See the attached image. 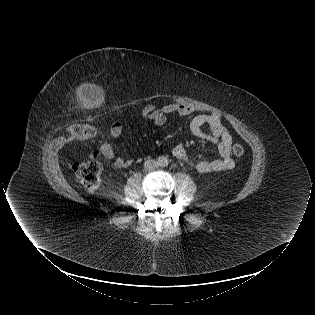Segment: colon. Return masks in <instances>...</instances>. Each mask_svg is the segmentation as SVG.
Instances as JSON below:
<instances>
[{
	"label": "colon",
	"instance_id": "obj_1",
	"mask_svg": "<svg viewBox=\"0 0 315 315\" xmlns=\"http://www.w3.org/2000/svg\"><path fill=\"white\" fill-rule=\"evenodd\" d=\"M71 135L78 141H85L96 136V131L85 125H75L70 130ZM233 154L241 158L244 155V148L240 144H234ZM99 151L92 150L83 160L74 164V171L79 182L88 192H95L101 182L102 166L99 162Z\"/></svg>",
	"mask_w": 315,
	"mask_h": 315
}]
</instances>
